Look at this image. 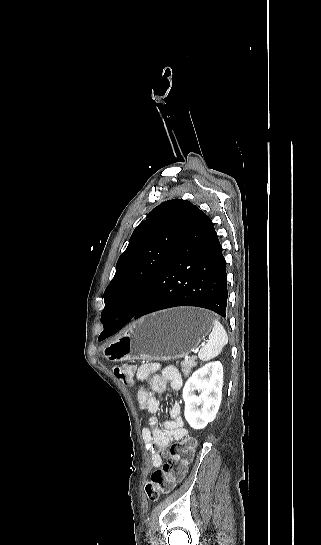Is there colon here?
Masks as SVG:
<instances>
[{
	"label": "colon",
	"mask_w": 321,
	"mask_h": 545,
	"mask_svg": "<svg viewBox=\"0 0 321 545\" xmlns=\"http://www.w3.org/2000/svg\"><path fill=\"white\" fill-rule=\"evenodd\" d=\"M113 375L125 385H131L134 380V368L129 364H117L112 367ZM195 443L191 438H185L171 446L167 462L156 469L145 491L150 500H157L160 496L170 493L180 482L187 471V466L194 455Z\"/></svg>",
	"instance_id": "obj_1"
}]
</instances>
